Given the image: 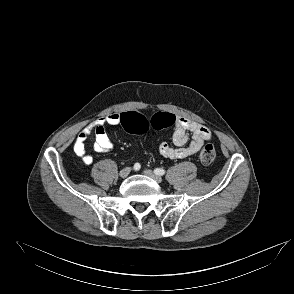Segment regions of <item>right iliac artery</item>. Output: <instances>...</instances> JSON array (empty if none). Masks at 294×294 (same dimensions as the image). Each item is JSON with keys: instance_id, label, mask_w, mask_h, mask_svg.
Segmentation results:
<instances>
[{"instance_id": "82829eb1", "label": "right iliac artery", "mask_w": 294, "mask_h": 294, "mask_svg": "<svg viewBox=\"0 0 294 294\" xmlns=\"http://www.w3.org/2000/svg\"><path fill=\"white\" fill-rule=\"evenodd\" d=\"M140 167H141V166H140L139 163H135V164H134V170H135V171L139 170Z\"/></svg>"}]
</instances>
